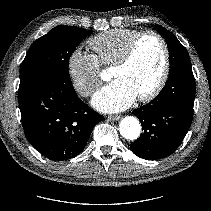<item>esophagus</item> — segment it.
Listing matches in <instances>:
<instances>
[{
  "instance_id": "obj_1",
  "label": "esophagus",
  "mask_w": 211,
  "mask_h": 211,
  "mask_svg": "<svg viewBox=\"0 0 211 211\" xmlns=\"http://www.w3.org/2000/svg\"><path fill=\"white\" fill-rule=\"evenodd\" d=\"M120 118H121L120 115H109V116L107 117V119L110 120V121H117V120H119Z\"/></svg>"
}]
</instances>
